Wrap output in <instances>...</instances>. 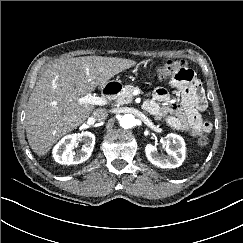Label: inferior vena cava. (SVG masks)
<instances>
[{"label":"inferior vena cava","mask_w":243,"mask_h":243,"mask_svg":"<svg viewBox=\"0 0 243 243\" xmlns=\"http://www.w3.org/2000/svg\"><path fill=\"white\" fill-rule=\"evenodd\" d=\"M92 115L96 121L102 122L108 117V111L105 108H97Z\"/></svg>","instance_id":"obj_1"}]
</instances>
